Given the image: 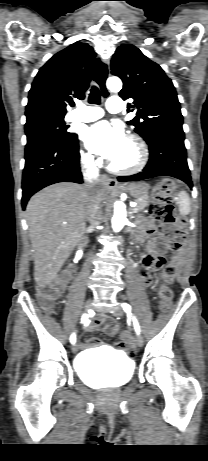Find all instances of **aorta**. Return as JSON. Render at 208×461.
Wrapping results in <instances>:
<instances>
[{
  "instance_id": "obj_1",
  "label": "aorta",
  "mask_w": 208,
  "mask_h": 461,
  "mask_svg": "<svg viewBox=\"0 0 208 461\" xmlns=\"http://www.w3.org/2000/svg\"><path fill=\"white\" fill-rule=\"evenodd\" d=\"M107 88L112 92H119L122 89V81L118 77H110L106 82ZM126 206L122 201L114 203V215L112 217V228L119 232L127 221Z\"/></svg>"
}]
</instances>
